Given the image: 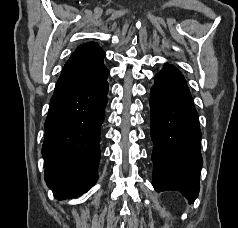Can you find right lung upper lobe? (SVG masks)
<instances>
[{"instance_id": "obj_1", "label": "right lung upper lobe", "mask_w": 238, "mask_h": 228, "mask_svg": "<svg viewBox=\"0 0 238 228\" xmlns=\"http://www.w3.org/2000/svg\"><path fill=\"white\" fill-rule=\"evenodd\" d=\"M105 52L94 43L80 45L66 62L55 90L94 82L107 69L103 64Z\"/></svg>"}]
</instances>
